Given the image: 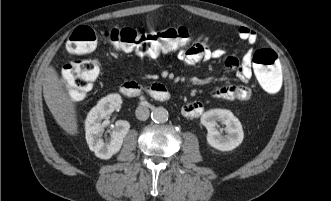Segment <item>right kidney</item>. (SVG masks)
Wrapping results in <instances>:
<instances>
[{
  "instance_id": "1",
  "label": "right kidney",
  "mask_w": 331,
  "mask_h": 201,
  "mask_svg": "<svg viewBox=\"0 0 331 201\" xmlns=\"http://www.w3.org/2000/svg\"><path fill=\"white\" fill-rule=\"evenodd\" d=\"M122 103L119 94H109L103 97L87 115L85 121L86 141L91 151L98 158L110 159L121 149L123 139L130 129V123L119 120L115 124V129L111 132L109 139L104 141L102 133L105 124L101 121L109 116Z\"/></svg>"
}]
</instances>
